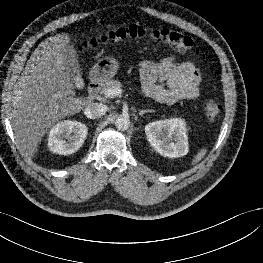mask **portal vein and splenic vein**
Returning <instances> with one entry per match:
<instances>
[{
	"instance_id": "portal-vein-and-splenic-vein-1",
	"label": "portal vein and splenic vein",
	"mask_w": 263,
	"mask_h": 263,
	"mask_svg": "<svg viewBox=\"0 0 263 263\" xmlns=\"http://www.w3.org/2000/svg\"><path fill=\"white\" fill-rule=\"evenodd\" d=\"M121 93L122 89L120 87H113L107 91V96L113 98L115 96L120 95Z\"/></svg>"
}]
</instances>
